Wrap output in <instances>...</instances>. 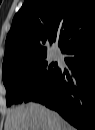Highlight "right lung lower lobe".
<instances>
[{"instance_id":"98d812e1","label":"right lung lower lobe","mask_w":95,"mask_h":130,"mask_svg":"<svg viewBox=\"0 0 95 130\" xmlns=\"http://www.w3.org/2000/svg\"><path fill=\"white\" fill-rule=\"evenodd\" d=\"M62 53L70 55L65 61L71 73L58 68L30 101L57 111L79 129H87L95 117V33L71 43Z\"/></svg>"}]
</instances>
